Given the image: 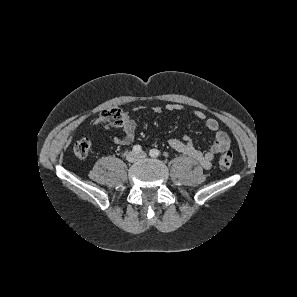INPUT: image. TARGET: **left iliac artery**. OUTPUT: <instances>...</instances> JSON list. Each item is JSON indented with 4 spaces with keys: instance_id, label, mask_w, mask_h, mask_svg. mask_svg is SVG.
<instances>
[{
    "instance_id": "1",
    "label": "left iliac artery",
    "mask_w": 297,
    "mask_h": 297,
    "mask_svg": "<svg viewBox=\"0 0 297 297\" xmlns=\"http://www.w3.org/2000/svg\"><path fill=\"white\" fill-rule=\"evenodd\" d=\"M149 155L151 157H158L160 155V151L158 149H151Z\"/></svg>"
}]
</instances>
